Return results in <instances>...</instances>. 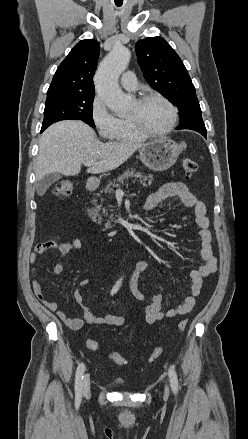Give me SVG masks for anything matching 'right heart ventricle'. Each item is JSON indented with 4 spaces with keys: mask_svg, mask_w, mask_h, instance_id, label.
<instances>
[{
    "mask_svg": "<svg viewBox=\"0 0 248 439\" xmlns=\"http://www.w3.org/2000/svg\"><path fill=\"white\" fill-rule=\"evenodd\" d=\"M145 138V136L135 131L128 117L119 118L118 128L112 137L117 143H139L144 141Z\"/></svg>",
    "mask_w": 248,
    "mask_h": 439,
    "instance_id": "right-heart-ventricle-1",
    "label": "right heart ventricle"
}]
</instances>
